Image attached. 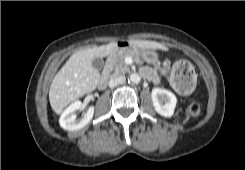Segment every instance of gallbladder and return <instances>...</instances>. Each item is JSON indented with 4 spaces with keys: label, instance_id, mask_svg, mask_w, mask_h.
Instances as JSON below:
<instances>
[{
    "label": "gallbladder",
    "instance_id": "1",
    "mask_svg": "<svg viewBox=\"0 0 245 170\" xmlns=\"http://www.w3.org/2000/svg\"><path fill=\"white\" fill-rule=\"evenodd\" d=\"M92 65L94 68H96L97 70H102L104 67V60L102 58H95L92 61Z\"/></svg>",
    "mask_w": 245,
    "mask_h": 170
}]
</instances>
